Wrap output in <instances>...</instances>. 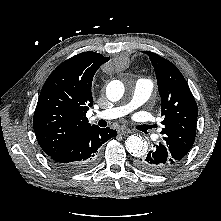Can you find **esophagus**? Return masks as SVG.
Instances as JSON below:
<instances>
[{
  "mask_svg": "<svg viewBox=\"0 0 221 221\" xmlns=\"http://www.w3.org/2000/svg\"><path fill=\"white\" fill-rule=\"evenodd\" d=\"M118 132L120 135H126V134H130L132 131L128 128H121V129H119Z\"/></svg>",
  "mask_w": 221,
  "mask_h": 221,
  "instance_id": "obj_1",
  "label": "esophagus"
}]
</instances>
